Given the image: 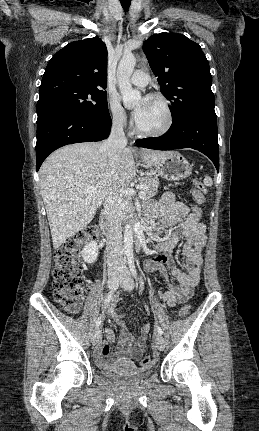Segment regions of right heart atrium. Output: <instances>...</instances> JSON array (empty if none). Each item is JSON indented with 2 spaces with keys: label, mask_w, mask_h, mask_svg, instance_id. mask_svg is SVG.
<instances>
[{
  "label": "right heart atrium",
  "mask_w": 259,
  "mask_h": 431,
  "mask_svg": "<svg viewBox=\"0 0 259 431\" xmlns=\"http://www.w3.org/2000/svg\"><path fill=\"white\" fill-rule=\"evenodd\" d=\"M111 123L114 127L123 129L129 123L128 115L117 99L111 97L108 101Z\"/></svg>",
  "instance_id": "1"
}]
</instances>
